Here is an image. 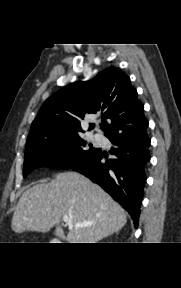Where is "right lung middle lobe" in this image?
I'll use <instances>...</instances> for the list:
<instances>
[{"label":"right lung middle lobe","mask_w":181,"mask_h":288,"mask_svg":"<svg viewBox=\"0 0 181 288\" xmlns=\"http://www.w3.org/2000/svg\"><path fill=\"white\" fill-rule=\"evenodd\" d=\"M96 148L78 133H51L26 143L23 176L38 167L72 168L94 154Z\"/></svg>","instance_id":"dd1d6c3e"}]
</instances>
